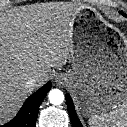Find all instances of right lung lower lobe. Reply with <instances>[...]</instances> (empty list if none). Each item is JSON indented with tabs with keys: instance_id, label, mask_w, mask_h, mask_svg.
Returning a JSON list of instances; mask_svg holds the SVG:
<instances>
[{
	"instance_id": "obj_1",
	"label": "right lung lower lobe",
	"mask_w": 127,
	"mask_h": 127,
	"mask_svg": "<svg viewBox=\"0 0 127 127\" xmlns=\"http://www.w3.org/2000/svg\"><path fill=\"white\" fill-rule=\"evenodd\" d=\"M51 88V82L32 94L24 103L19 113L9 123L0 127H35L41 102Z\"/></svg>"
}]
</instances>
